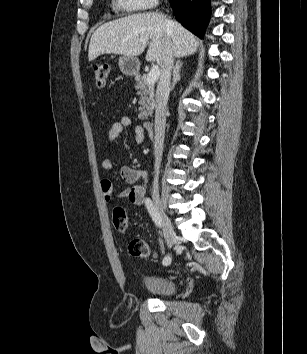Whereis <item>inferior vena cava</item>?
<instances>
[{"label": "inferior vena cava", "mask_w": 307, "mask_h": 354, "mask_svg": "<svg viewBox=\"0 0 307 354\" xmlns=\"http://www.w3.org/2000/svg\"><path fill=\"white\" fill-rule=\"evenodd\" d=\"M166 26H169V23L166 22ZM174 54L169 40L166 41L160 67L161 75L160 81L156 90V110H155V141H154V156H155V176L153 181V190L158 192V175L159 168L162 160L163 153V143H164V134H165V124H166V106L168 102V97L170 94V78L171 71L173 67Z\"/></svg>", "instance_id": "inferior-vena-cava-1"}]
</instances>
